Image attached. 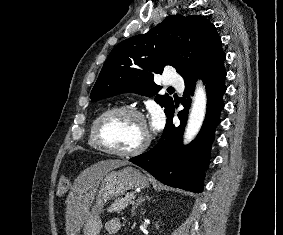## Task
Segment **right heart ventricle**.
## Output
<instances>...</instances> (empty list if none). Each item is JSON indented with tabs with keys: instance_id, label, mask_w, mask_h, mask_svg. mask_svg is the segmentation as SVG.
<instances>
[{
	"instance_id": "1",
	"label": "right heart ventricle",
	"mask_w": 283,
	"mask_h": 235,
	"mask_svg": "<svg viewBox=\"0 0 283 235\" xmlns=\"http://www.w3.org/2000/svg\"><path fill=\"white\" fill-rule=\"evenodd\" d=\"M111 109L110 107H106L103 108L101 111H99L94 118L92 119L91 123H90V127H89V131H88V145L93 148V149H97L98 147L96 146L94 139H93V127L97 121V119L107 110Z\"/></svg>"
}]
</instances>
